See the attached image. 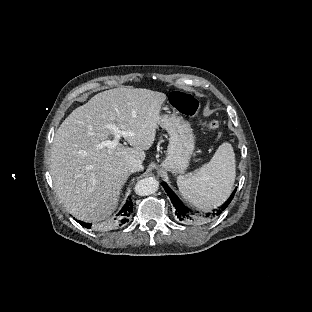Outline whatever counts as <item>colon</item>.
Segmentation results:
<instances>
[{
    "label": "colon",
    "instance_id": "colon-1",
    "mask_svg": "<svg viewBox=\"0 0 312 312\" xmlns=\"http://www.w3.org/2000/svg\"><path fill=\"white\" fill-rule=\"evenodd\" d=\"M171 105L179 113L195 116L200 110V101L193 95L184 92H174L170 98ZM203 125L209 129H218L221 125L218 120L203 121Z\"/></svg>",
    "mask_w": 312,
    "mask_h": 312
}]
</instances>
